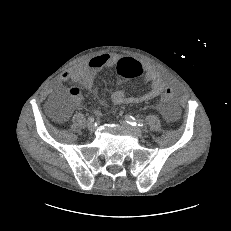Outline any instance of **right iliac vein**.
<instances>
[{
	"label": "right iliac vein",
	"mask_w": 231,
	"mask_h": 231,
	"mask_svg": "<svg viewBox=\"0 0 231 231\" xmlns=\"http://www.w3.org/2000/svg\"><path fill=\"white\" fill-rule=\"evenodd\" d=\"M87 129H88L89 131L93 132L94 129H95L94 123L89 122V123L87 124Z\"/></svg>",
	"instance_id": "obj_1"
}]
</instances>
